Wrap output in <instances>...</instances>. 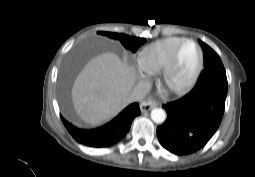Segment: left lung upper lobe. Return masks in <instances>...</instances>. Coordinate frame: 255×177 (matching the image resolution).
I'll use <instances>...</instances> for the list:
<instances>
[{
    "label": "left lung upper lobe",
    "instance_id": "1",
    "mask_svg": "<svg viewBox=\"0 0 255 177\" xmlns=\"http://www.w3.org/2000/svg\"><path fill=\"white\" fill-rule=\"evenodd\" d=\"M204 52V70L202 71L197 84H218L228 86L226 72L221 59L217 53L208 45L199 40Z\"/></svg>",
    "mask_w": 255,
    "mask_h": 177
}]
</instances>
